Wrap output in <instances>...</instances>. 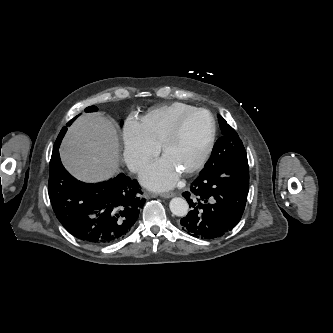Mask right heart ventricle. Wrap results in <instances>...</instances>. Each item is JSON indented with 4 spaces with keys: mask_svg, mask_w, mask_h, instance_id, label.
<instances>
[{
    "mask_svg": "<svg viewBox=\"0 0 333 333\" xmlns=\"http://www.w3.org/2000/svg\"><path fill=\"white\" fill-rule=\"evenodd\" d=\"M195 106L184 102H173L149 110L141 123L149 138L159 147L177 119Z\"/></svg>",
    "mask_w": 333,
    "mask_h": 333,
    "instance_id": "1",
    "label": "right heart ventricle"
}]
</instances>
